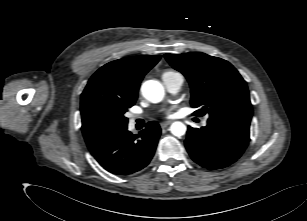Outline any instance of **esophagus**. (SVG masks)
Here are the masks:
<instances>
[{
	"mask_svg": "<svg viewBox=\"0 0 307 221\" xmlns=\"http://www.w3.org/2000/svg\"><path fill=\"white\" fill-rule=\"evenodd\" d=\"M170 124H171V121H165V122H161L160 126H161V128H166Z\"/></svg>",
	"mask_w": 307,
	"mask_h": 221,
	"instance_id": "esophagus-1",
	"label": "esophagus"
}]
</instances>
